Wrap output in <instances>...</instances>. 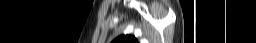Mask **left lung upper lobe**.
I'll list each match as a JSON object with an SVG mask.
<instances>
[{"mask_svg":"<svg viewBox=\"0 0 256 43\" xmlns=\"http://www.w3.org/2000/svg\"><path fill=\"white\" fill-rule=\"evenodd\" d=\"M112 43H138L134 36L122 35L116 38Z\"/></svg>","mask_w":256,"mask_h":43,"instance_id":"obj_1","label":"left lung upper lobe"}]
</instances>
